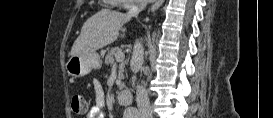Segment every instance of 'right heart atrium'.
Listing matches in <instances>:
<instances>
[{
    "label": "right heart atrium",
    "instance_id": "d8ad5b80",
    "mask_svg": "<svg viewBox=\"0 0 273 118\" xmlns=\"http://www.w3.org/2000/svg\"><path fill=\"white\" fill-rule=\"evenodd\" d=\"M114 2L124 9H133L137 6L136 0H114Z\"/></svg>",
    "mask_w": 273,
    "mask_h": 118
}]
</instances>
